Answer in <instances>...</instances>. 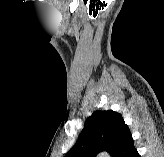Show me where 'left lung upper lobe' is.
I'll return each mask as SVG.
<instances>
[{
    "mask_svg": "<svg viewBox=\"0 0 164 157\" xmlns=\"http://www.w3.org/2000/svg\"><path fill=\"white\" fill-rule=\"evenodd\" d=\"M130 137L121 114L97 110L86 120L76 144L64 157H96L103 151L113 157Z\"/></svg>",
    "mask_w": 164,
    "mask_h": 157,
    "instance_id": "left-lung-upper-lobe-1",
    "label": "left lung upper lobe"
}]
</instances>
